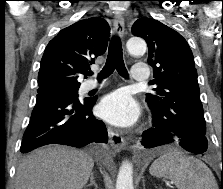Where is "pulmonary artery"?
I'll return each instance as SVG.
<instances>
[{
    "label": "pulmonary artery",
    "instance_id": "1",
    "mask_svg": "<svg viewBox=\"0 0 223 189\" xmlns=\"http://www.w3.org/2000/svg\"><path fill=\"white\" fill-rule=\"evenodd\" d=\"M149 78V70L146 64H134L131 70V79L134 82H145ZM101 84L89 81L85 84V90L90 91L98 88Z\"/></svg>",
    "mask_w": 223,
    "mask_h": 189
}]
</instances>
